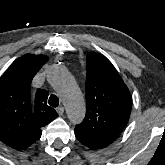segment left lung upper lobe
Returning a JSON list of instances; mask_svg holds the SVG:
<instances>
[{
	"label": "left lung upper lobe",
	"mask_w": 165,
	"mask_h": 165,
	"mask_svg": "<svg viewBox=\"0 0 165 165\" xmlns=\"http://www.w3.org/2000/svg\"><path fill=\"white\" fill-rule=\"evenodd\" d=\"M86 116L75 130L105 147L126 126L132 107L131 94L112 63L102 54L87 55Z\"/></svg>",
	"instance_id": "5c2ea615"
}]
</instances>
